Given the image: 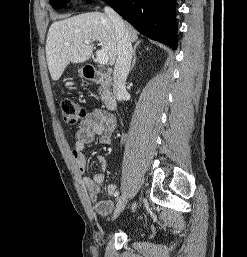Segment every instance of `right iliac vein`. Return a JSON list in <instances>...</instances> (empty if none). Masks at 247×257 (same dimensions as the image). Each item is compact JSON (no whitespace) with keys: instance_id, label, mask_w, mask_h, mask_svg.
<instances>
[{"instance_id":"63e3f726","label":"right iliac vein","mask_w":247,"mask_h":257,"mask_svg":"<svg viewBox=\"0 0 247 257\" xmlns=\"http://www.w3.org/2000/svg\"><path fill=\"white\" fill-rule=\"evenodd\" d=\"M127 200H128V196L126 193H123L119 198H118V202L115 208V211L113 213L112 218L116 219L120 213L124 210L126 204H127Z\"/></svg>"}]
</instances>
